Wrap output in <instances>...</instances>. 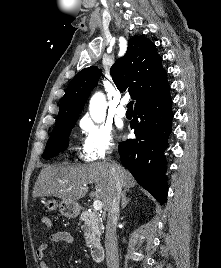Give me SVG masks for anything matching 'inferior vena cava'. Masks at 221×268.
<instances>
[{
    "mask_svg": "<svg viewBox=\"0 0 221 268\" xmlns=\"http://www.w3.org/2000/svg\"><path fill=\"white\" fill-rule=\"evenodd\" d=\"M111 192L108 206V220L105 233V250L107 268H119L116 227L119 218V203L122 195V185L118 175V166L111 163Z\"/></svg>",
    "mask_w": 221,
    "mask_h": 268,
    "instance_id": "602c4592",
    "label": "inferior vena cava"
}]
</instances>
